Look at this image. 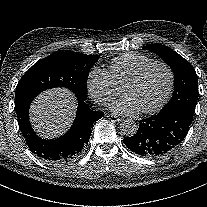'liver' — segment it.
<instances>
[{"instance_id":"obj_1","label":"liver","mask_w":207,"mask_h":207,"mask_svg":"<svg viewBox=\"0 0 207 207\" xmlns=\"http://www.w3.org/2000/svg\"><path fill=\"white\" fill-rule=\"evenodd\" d=\"M77 106L75 94L69 89L61 87L47 89L30 105L31 126L41 138H58L72 126Z\"/></svg>"}]
</instances>
